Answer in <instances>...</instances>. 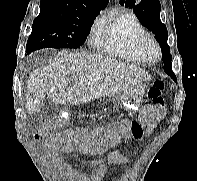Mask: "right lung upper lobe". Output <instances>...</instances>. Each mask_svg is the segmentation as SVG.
I'll list each match as a JSON object with an SVG mask.
<instances>
[{"label":"right lung upper lobe","mask_w":197,"mask_h":181,"mask_svg":"<svg viewBox=\"0 0 197 181\" xmlns=\"http://www.w3.org/2000/svg\"><path fill=\"white\" fill-rule=\"evenodd\" d=\"M109 0H41L40 12L65 16L99 14Z\"/></svg>","instance_id":"right-lung-upper-lobe-1"}]
</instances>
